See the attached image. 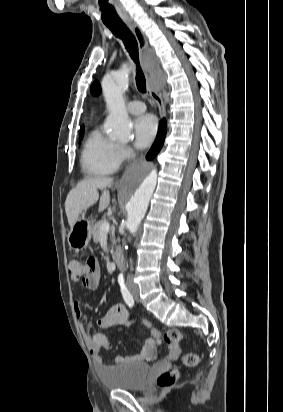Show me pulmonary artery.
<instances>
[{"label":"pulmonary artery","mask_w":283,"mask_h":412,"mask_svg":"<svg viewBox=\"0 0 283 412\" xmlns=\"http://www.w3.org/2000/svg\"><path fill=\"white\" fill-rule=\"evenodd\" d=\"M146 110V106L142 101L136 100V101H131L127 105V111L130 114L133 115H138L143 113Z\"/></svg>","instance_id":"e3ab8cb5"}]
</instances>
